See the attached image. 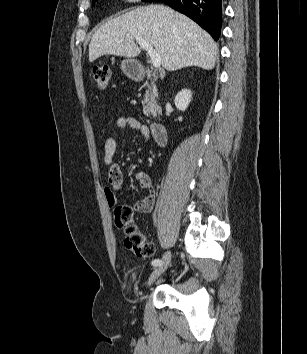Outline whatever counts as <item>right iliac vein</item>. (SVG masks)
Segmentation results:
<instances>
[{
	"label": "right iliac vein",
	"instance_id": "1",
	"mask_svg": "<svg viewBox=\"0 0 307 354\" xmlns=\"http://www.w3.org/2000/svg\"><path fill=\"white\" fill-rule=\"evenodd\" d=\"M161 264L159 266H157L153 272L151 273V275L148 278L147 281V286H150L162 273L165 272V270L168 268L170 261H171V253L170 251H167L162 260H161Z\"/></svg>",
	"mask_w": 307,
	"mask_h": 354
}]
</instances>
